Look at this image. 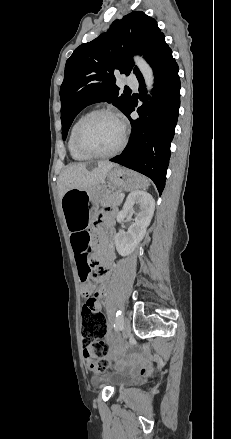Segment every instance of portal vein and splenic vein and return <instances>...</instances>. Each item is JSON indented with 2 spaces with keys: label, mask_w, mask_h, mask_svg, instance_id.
<instances>
[{
  "label": "portal vein and splenic vein",
  "mask_w": 231,
  "mask_h": 439,
  "mask_svg": "<svg viewBox=\"0 0 231 439\" xmlns=\"http://www.w3.org/2000/svg\"><path fill=\"white\" fill-rule=\"evenodd\" d=\"M120 196H121L122 199L124 198V195H123V194H120Z\"/></svg>",
  "instance_id": "18ae733b"
}]
</instances>
